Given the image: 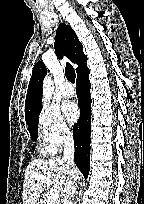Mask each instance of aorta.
I'll return each mask as SVG.
<instances>
[{
	"label": "aorta",
	"mask_w": 144,
	"mask_h": 204,
	"mask_svg": "<svg viewBox=\"0 0 144 204\" xmlns=\"http://www.w3.org/2000/svg\"><path fill=\"white\" fill-rule=\"evenodd\" d=\"M54 93L53 80L50 76H47L43 82V100L50 101Z\"/></svg>",
	"instance_id": "aorta-1"
}]
</instances>
